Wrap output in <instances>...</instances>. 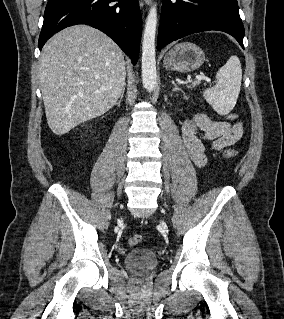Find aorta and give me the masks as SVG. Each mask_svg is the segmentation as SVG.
<instances>
[{
    "label": "aorta",
    "mask_w": 284,
    "mask_h": 319,
    "mask_svg": "<svg viewBox=\"0 0 284 319\" xmlns=\"http://www.w3.org/2000/svg\"><path fill=\"white\" fill-rule=\"evenodd\" d=\"M157 20V7L154 4L146 18L142 40V81L148 92L154 90L157 79L155 53Z\"/></svg>",
    "instance_id": "obj_1"
}]
</instances>
